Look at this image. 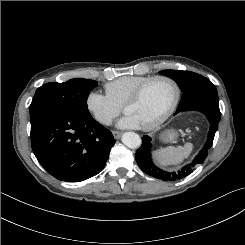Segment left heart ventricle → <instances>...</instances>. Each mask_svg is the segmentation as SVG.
Here are the masks:
<instances>
[{"mask_svg":"<svg viewBox=\"0 0 245 245\" xmlns=\"http://www.w3.org/2000/svg\"><path fill=\"white\" fill-rule=\"evenodd\" d=\"M175 97L174 86L167 81H154L142 93L140 99L129 105L125 112L133 115L141 127L159 120L171 107Z\"/></svg>","mask_w":245,"mask_h":245,"instance_id":"1","label":"left heart ventricle"}]
</instances>
